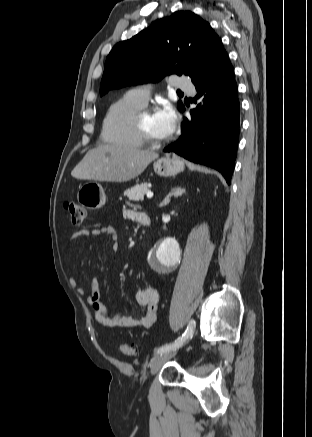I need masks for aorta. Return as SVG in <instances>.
<instances>
[{
	"instance_id": "obj_1",
	"label": "aorta",
	"mask_w": 312,
	"mask_h": 437,
	"mask_svg": "<svg viewBox=\"0 0 312 437\" xmlns=\"http://www.w3.org/2000/svg\"><path fill=\"white\" fill-rule=\"evenodd\" d=\"M180 258V248L173 238L164 239L155 250V267L164 270L167 266L176 263Z\"/></svg>"
}]
</instances>
